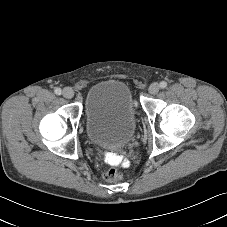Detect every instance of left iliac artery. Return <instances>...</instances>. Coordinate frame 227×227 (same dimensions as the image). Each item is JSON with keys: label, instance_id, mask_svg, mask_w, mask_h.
Here are the masks:
<instances>
[{"label": "left iliac artery", "instance_id": "44dca946", "mask_svg": "<svg viewBox=\"0 0 227 227\" xmlns=\"http://www.w3.org/2000/svg\"><path fill=\"white\" fill-rule=\"evenodd\" d=\"M160 87L162 89L166 88L167 87V82H165V81L160 82Z\"/></svg>", "mask_w": 227, "mask_h": 227}]
</instances>
